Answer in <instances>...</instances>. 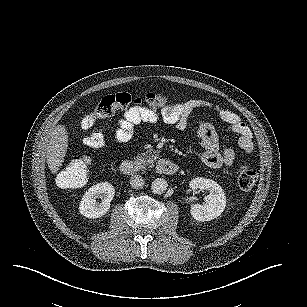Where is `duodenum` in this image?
Wrapping results in <instances>:
<instances>
[{
  "label": "duodenum",
  "instance_id": "410a0bca",
  "mask_svg": "<svg viewBox=\"0 0 307 307\" xmlns=\"http://www.w3.org/2000/svg\"><path fill=\"white\" fill-rule=\"evenodd\" d=\"M156 172L162 175H173L178 171V166L167 159H160L156 164ZM135 163L131 160H124L120 165V171L127 176L135 173Z\"/></svg>",
  "mask_w": 307,
  "mask_h": 307
}]
</instances>
